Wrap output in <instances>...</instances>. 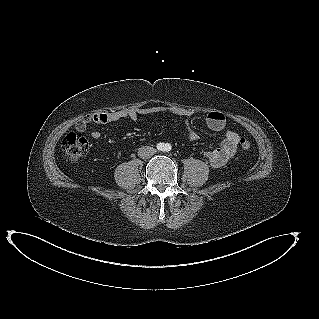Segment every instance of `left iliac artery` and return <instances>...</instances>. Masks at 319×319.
<instances>
[{
    "label": "left iliac artery",
    "mask_w": 319,
    "mask_h": 319,
    "mask_svg": "<svg viewBox=\"0 0 319 319\" xmlns=\"http://www.w3.org/2000/svg\"><path fill=\"white\" fill-rule=\"evenodd\" d=\"M170 149H171V145H170V144H167L166 147H165V150H166V151H169Z\"/></svg>",
    "instance_id": "obj_1"
}]
</instances>
